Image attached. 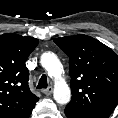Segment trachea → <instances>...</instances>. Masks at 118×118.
I'll return each mask as SVG.
<instances>
[{
	"label": "trachea",
	"instance_id": "obj_1",
	"mask_svg": "<svg viewBox=\"0 0 118 118\" xmlns=\"http://www.w3.org/2000/svg\"><path fill=\"white\" fill-rule=\"evenodd\" d=\"M48 86V82H47V76L45 74H43L39 80V83L37 85V88L38 89H41V88H47Z\"/></svg>",
	"mask_w": 118,
	"mask_h": 118
}]
</instances>
